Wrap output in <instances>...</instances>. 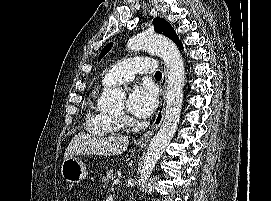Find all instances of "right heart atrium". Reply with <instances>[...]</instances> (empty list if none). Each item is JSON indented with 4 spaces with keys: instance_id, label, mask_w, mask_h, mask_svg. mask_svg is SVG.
Masks as SVG:
<instances>
[{
    "instance_id": "obj_1",
    "label": "right heart atrium",
    "mask_w": 271,
    "mask_h": 201,
    "mask_svg": "<svg viewBox=\"0 0 271 201\" xmlns=\"http://www.w3.org/2000/svg\"><path fill=\"white\" fill-rule=\"evenodd\" d=\"M118 119H119V121L121 122V124H122L123 126H127V125L130 124V118L127 117V116H121V117H119Z\"/></svg>"
}]
</instances>
